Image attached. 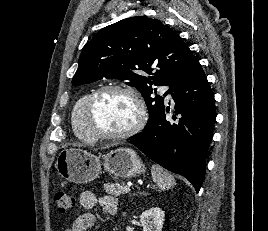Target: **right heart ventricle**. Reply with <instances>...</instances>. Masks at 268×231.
Instances as JSON below:
<instances>
[{
	"instance_id": "1",
	"label": "right heart ventricle",
	"mask_w": 268,
	"mask_h": 231,
	"mask_svg": "<svg viewBox=\"0 0 268 231\" xmlns=\"http://www.w3.org/2000/svg\"><path fill=\"white\" fill-rule=\"evenodd\" d=\"M92 91L83 94L74 104L71 110V124L74 134L85 142L94 141L92 135L88 131L84 120V105Z\"/></svg>"
}]
</instances>
